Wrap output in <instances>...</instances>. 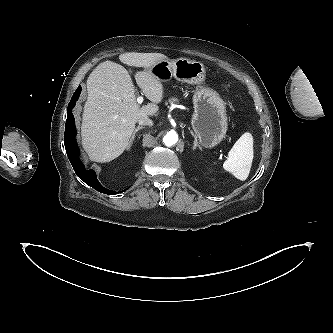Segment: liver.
I'll return each instance as SVG.
<instances>
[{"instance_id":"obj_1","label":"liver","mask_w":333,"mask_h":333,"mask_svg":"<svg viewBox=\"0 0 333 333\" xmlns=\"http://www.w3.org/2000/svg\"><path fill=\"white\" fill-rule=\"evenodd\" d=\"M162 59L168 58L161 53L119 55L122 63L145 68L136 72L135 80L152 103L142 107L136 102L135 87L123 66L107 60L89 75L81 136L91 160L110 162L120 156L128 147L136 122L158 112L156 104L163 99V85L148 69Z\"/></svg>"}]
</instances>
